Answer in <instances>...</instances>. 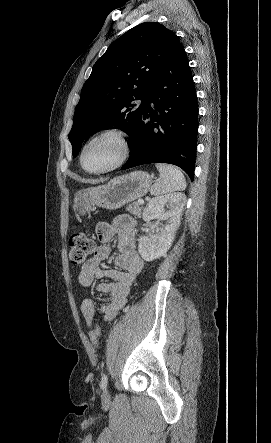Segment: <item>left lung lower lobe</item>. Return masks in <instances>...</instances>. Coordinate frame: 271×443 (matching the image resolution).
Wrapping results in <instances>:
<instances>
[{"label": "left lung lower lobe", "mask_w": 271, "mask_h": 443, "mask_svg": "<svg viewBox=\"0 0 271 443\" xmlns=\"http://www.w3.org/2000/svg\"><path fill=\"white\" fill-rule=\"evenodd\" d=\"M150 103L154 104V110ZM149 119V122L144 120ZM198 104L193 76L180 44L151 80L146 106L129 142L125 170L149 163H169L194 179Z\"/></svg>", "instance_id": "left-lung-lower-lobe-1"}]
</instances>
